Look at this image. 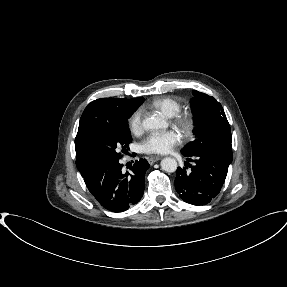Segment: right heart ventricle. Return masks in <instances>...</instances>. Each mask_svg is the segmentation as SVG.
I'll return each instance as SVG.
<instances>
[{"label": "right heart ventricle", "mask_w": 287, "mask_h": 287, "mask_svg": "<svg viewBox=\"0 0 287 287\" xmlns=\"http://www.w3.org/2000/svg\"><path fill=\"white\" fill-rule=\"evenodd\" d=\"M150 106L154 109L159 110L168 117H173L179 113L181 104L178 100L172 97H159L154 99Z\"/></svg>", "instance_id": "1"}]
</instances>
